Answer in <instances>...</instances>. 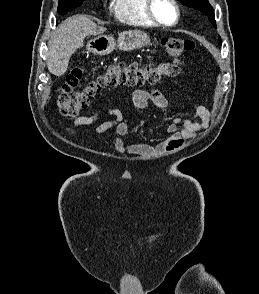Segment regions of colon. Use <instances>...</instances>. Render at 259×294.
I'll return each mask as SVG.
<instances>
[{
	"label": "colon",
	"mask_w": 259,
	"mask_h": 294,
	"mask_svg": "<svg viewBox=\"0 0 259 294\" xmlns=\"http://www.w3.org/2000/svg\"><path fill=\"white\" fill-rule=\"evenodd\" d=\"M161 44L171 60L158 66L140 65L137 62H118L108 66L105 71L88 81L84 87L75 91L83 77L82 69L73 70L62 84L57 97L60 113L66 117H76L87 109L90 100L107 87H142L155 85L164 77H174L180 72V56L191 50L194 43L190 40L166 37Z\"/></svg>",
	"instance_id": "1"
}]
</instances>
